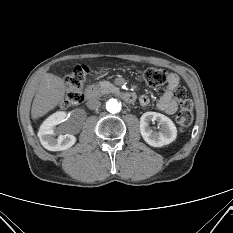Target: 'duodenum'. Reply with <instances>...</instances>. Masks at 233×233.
Returning <instances> with one entry per match:
<instances>
[{"label": "duodenum", "mask_w": 233, "mask_h": 233, "mask_svg": "<svg viewBox=\"0 0 233 233\" xmlns=\"http://www.w3.org/2000/svg\"><path fill=\"white\" fill-rule=\"evenodd\" d=\"M84 94L87 100H92L97 96V91L94 88L89 87L85 90ZM118 95L128 103H132L136 100V96L132 92L120 91L118 92Z\"/></svg>", "instance_id": "duodenum-1"}]
</instances>
